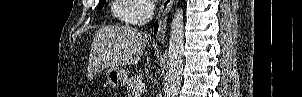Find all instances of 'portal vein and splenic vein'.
<instances>
[{
  "mask_svg": "<svg viewBox=\"0 0 302 97\" xmlns=\"http://www.w3.org/2000/svg\"><path fill=\"white\" fill-rule=\"evenodd\" d=\"M145 89V83H143L142 81L137 83L134 89V93L135 94H140L144 91Z\"/></svg>",
  "mask_w": 302,
  "mask_h": 97,
  "instance_id": "18ae733b",
  "label": "portal vein and splenic vein"
}]
</instances>
